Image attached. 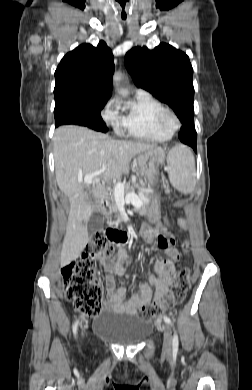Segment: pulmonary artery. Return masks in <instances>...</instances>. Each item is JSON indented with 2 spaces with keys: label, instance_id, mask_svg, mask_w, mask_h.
Wrapping results in <instances>:
<instances>
[{
  "label": "pulmonary artery",
  "instance_id": "e3ab8cb5",
  "mask_svg": "<svg viewBox=\"0 0 252 390\" xmlns=\"http://www.w3.org/2000/svg\"><path fill=\"white\" fill-rule=\"evenodd\" d=\"M136 93H137V95H139V96L148 95V93H147L146 91L142 90V89H138V90L136 91Z\"/></svg>",
  "mask_w": 252,
  "mask_h": 390
}]
</instances>
